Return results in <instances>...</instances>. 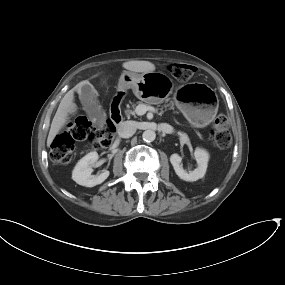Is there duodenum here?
<instances>
[{
  "mask_svg": "<svg viewBox=\"0 0 285 285\" xmlns=\"http://www.w3.org/2000/svg\"><path fill=\"white\" fill-rule=\"evenodd\" d=\"M122 100H123V95L118 93L115 96L110 108L111 120L116 125H119L122 122V111H121Z\"/></svg>",
  "mask_w": 285,
  "mask_h": 285,
  "instance_id": "obj_1",
  "label": "duodenum"
}]
</instances>
